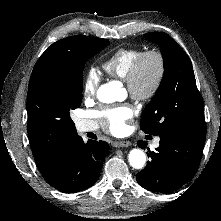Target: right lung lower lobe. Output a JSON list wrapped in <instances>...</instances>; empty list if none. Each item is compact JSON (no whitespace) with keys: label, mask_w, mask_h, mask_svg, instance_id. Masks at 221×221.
<instances>
[{"label":"right lung lower lobe","mask_w":221,"mask_h":221,"mask_svg":"<svg viewBox=\"0 0 221 221\" xmlns=\"http://www.w3.org/2000/svg\"><path fill=\"white\" fill-rule=\"evenodd\" d=\"M108 153L107 142L88 140L84 143L79 136L62 147L42 175L55 189L75 193L95 184Z\"/></svg>","instance_id":"right-lung-lower-lobe-1"}]
</instances>
